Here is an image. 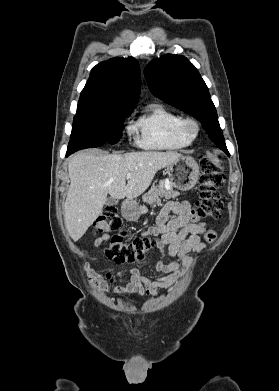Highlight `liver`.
<instances>
[{
    "instance_id": "liver-1",
    "label": "liver",
    "mask_w": 279,
    "mask_h": 391,
    "mask_svg": "<svg viewBox=\"0 0 279 391\" xmlns=\"http://www.w3.org/2000/svg\"><path fill=\"white\" fill-rule=\"evenodd\" d=\"M178 152H131L106 154L92 151L73 156L68 164L70 187L64 205V222L70 237L78 241L102 213L110 194L133 199L151 184L155 174L172 165ZM128 179L126 185L127 175Z\"/></svg>"
}]
</instances>
